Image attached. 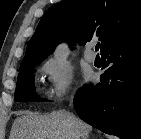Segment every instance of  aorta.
Instances as JSON below:
<instances>
[{
	"mask_svg": "<svg viewBox=\"0 0 141 139\" xmlns=\"http://www.w3.org/2000/svg\"><path fill=\"white\" fill-rule=\"evenodd\" d=\"M54 61L57 65H64L68 57V48L66 45L61 44L57 46L53 53Z\"/></svg>",
	"mask_w": 141,
	"mask_h": 139,
	"instance_id": "obj_1",
	"label": "aorta"
}]
</instances>
